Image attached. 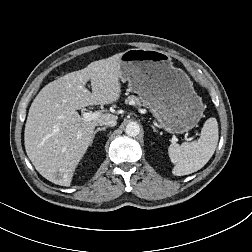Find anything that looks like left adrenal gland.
Segmentation results:
<instances>
[{
  "instance_id": "left-adrenal-gland-1",
  "label": "left adrenal gland",
  "mask_w": 252,
  "mask_h": 252,
  "mask_svg": "<svg viewBox=\"0 0 252 252\" xmlns=\"http://www.w3.org/2000/svg\"><path fill=\"white\" fill-rule=\"evenodd\" d=\"M152 128H153L154 131H156V129H155V127L153 125H152Z\"/></svg>"
}]
</instances>
